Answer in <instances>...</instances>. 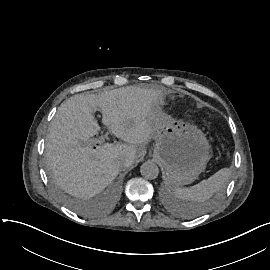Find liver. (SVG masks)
I'll return each instance as SVG.
<instances>
[{
	"label": "liver",
	"mask_w": 270,
	"mask_h": 270,
	"mask_svg": "<svg viewBox=\"0 0 270 270\" xmlns=\"http://www.w3.org/2000/svg\"><path fill=\"white\" fill-rule=\"evenodd\" d=\"M165 95L159 89L127 86L98 95L77 94L62 103L45 146L56 184L82 198L106 188L122 167L134 163L136 145L152 141ZM97 111L125 144L105 142L95 149L84 144L100 130L94 117Z\"/></svg>",
	"instance_id": "6515ba94"
}]
</instances>
